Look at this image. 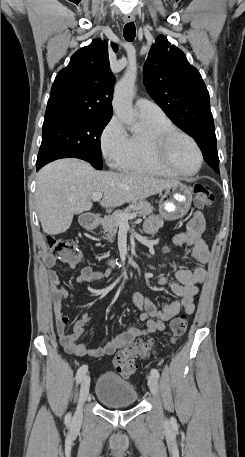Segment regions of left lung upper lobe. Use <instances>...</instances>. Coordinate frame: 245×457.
Masks as SVG:
<instances>
[{"instance_id": "left-lung-upper-lobe-1", "label": "left lung upper lobe", "mask_w": 245, "mask_h": 457, "mask_svg": "<svg viewBox=\"0 0 245 457\" xmlns=\"http://www.w3.org/2000/svg\"><path fill=\"white\" fill-rule=\"evenodd\" d=\"M144 84L167 116L195 141L215 130L207 88L185 54L163 35L144 64Z\"/></svg>"}]
</instances>
